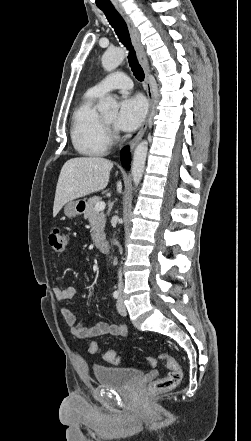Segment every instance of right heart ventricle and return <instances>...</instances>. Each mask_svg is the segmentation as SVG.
Here are the masks:
<instances>
[{"instance_id": "right-heart-ventricle-1", "label": "right heart ventricle", "mask_w": 251, "mask_h": 441, "mask_svg": "<svg viewBox=\"0 0 251 441\" xmlns=\"http://www.w3.org/2000/svg\"><path fill=\"white\" fill-rule=\"evenodd\" d=\"M102 95L89 89L76 107L71 124V140L75 150L84 156H99L110 146L103 118L96 108Z\"/></svg>"}]
</instances>
